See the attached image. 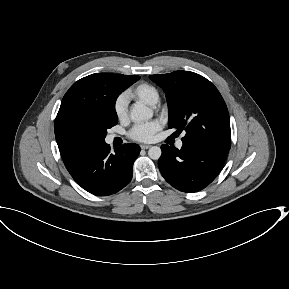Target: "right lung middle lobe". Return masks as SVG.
Listing matches in <instances>:
<instances>
[{
  "label": "right lung middle lobe",
  "instance_id": "obj_1",
  "mask_svg": "<svg viewBox=\"0 0 289 289\" xmlns=\"http://www.w3.org/2000/svg\"><path fill=\"white\" fill-rule=\"evenodd\" d=\"M139 76H123L116 80L101 97L96 111L88 117L73 119L65 130L70 149L83 156L105 144L107 129L118 123L115 101L118 95L136 82Z\"/></svg>",
  "mask_w": 289,
  "mask_h": 289
}]
</instances>
